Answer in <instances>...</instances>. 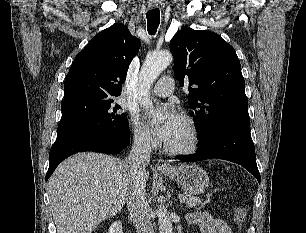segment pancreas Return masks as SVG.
<instances>
[{
	"mask_svg": "<svg viewBox=\"0 0 306 233\" xmlns=\"http://www.w3.org/2000/svg\"><path fill=\"white\" fill-rule=\"evenodd\" d=\"M181 197L185 199L184 203L188 208L198 207L202 205L201 199L191 194L185 193Z\"/></svg>",
	"mask_w": 306,
	"mask_h": 233,
	"instance_id": "1",
	"label": "pancreas"
}]
</instances>
